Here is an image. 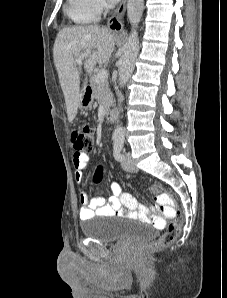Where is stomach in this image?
Segmentation results:
<instances>
[{
	"label": "stomach",
	"mask_w": 227,
	"mask_h": 298,
	"mask_svg": "<svg viewBox=\"0 0 227 298\" xmlns=\"http://www.w3.org/2000/svg\"><path fill=\"white\" fill-rule=\"evenodd\" d=\"M93 99L94 97L91 91L88 88H85L81 93V97L78 105L79 108L81 110L90 109L92 107Z\"/></svg>",
	"instance_id": "1"
}]
</instances>
